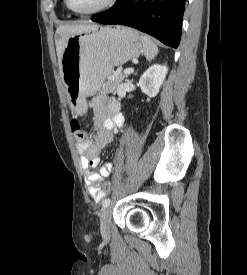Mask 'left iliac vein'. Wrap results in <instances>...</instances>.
Wrapping results in <instances>:
<instances>
[{"mask_svg":"<svg viewBox=\"0 0 247 275\" xmlns=\"http://www.w3.org/2000/svg\"><path fill=\"white\" fill-rule=\"evenodd\" d=\"M111 216L112 211L110 208L104 209L100 216V230L104 238H108L110 236Z\"/></svg>","mask_w":247,"mask_h":275,"instance_id":"left-iliac-vein-1","label":"left iliac vein"}]
</instances>
